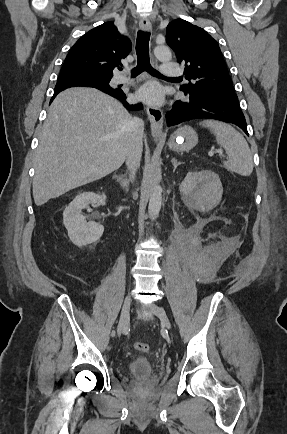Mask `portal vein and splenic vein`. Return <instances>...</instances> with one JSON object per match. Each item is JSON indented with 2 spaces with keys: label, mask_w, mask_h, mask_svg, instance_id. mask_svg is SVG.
<instances>
[{
  "label": "portal vein and splenic vein",
  "mask_w": 287,
  "mask_h": 434,
  "mask_svg": "<svg viewBox=\"0 0 287 434\" xmlns=\"http://www.w3.org/2000/svg\"><path fill=\"white\" fill-rule=\"evenodd\" d=\"M217 152L220 153V154L223 153V151H222L221 149H219ZM214 153H215V151L211 150V151H209L208 155H209V156H213Z\"/></svg>",
  "instance_id": "1"
}]
</instances>
